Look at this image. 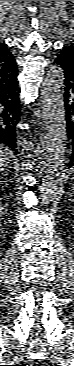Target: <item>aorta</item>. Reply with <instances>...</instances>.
Segmentation results:
<instances>
[{
	"label": "aorta",
	"instance_id": "obj_1",
	"mask_svg": "<svg viewBox=\"0 0 74 366\" xmlns=\"http://www.w3.org/2000/svg\"><path fill=\"white\" fill-rule=\"evenodd\" d=\"M63 94V70L59 65H54L48 70L41 90L43 121L49 142L47 162L39 185L44 203L56 199L64 185L67 129Z\"/></svg>",
	"mask_w": 74,
	"mask_h": 366
}]
</instances>
